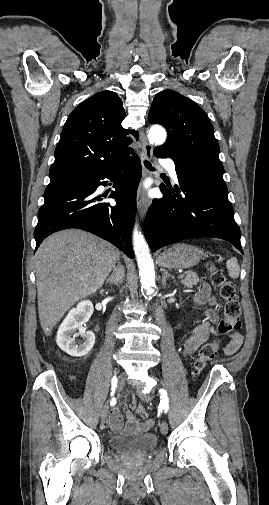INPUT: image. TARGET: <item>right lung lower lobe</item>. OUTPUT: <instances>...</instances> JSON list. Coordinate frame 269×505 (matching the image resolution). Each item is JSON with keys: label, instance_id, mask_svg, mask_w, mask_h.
Wrapping results in <instances>:
<instances>
[{"label": "right lung lower lobe", "instance_id": "1", "mask_svg": "<svg viewBox=\"0 0 269 505\" xmlns=\"http://www.w3.org/2000/svg\"><path fill=\"white\" fill-rule=\"evenodd\" d=\"M141 177L139 158L127 157L77 182L47 187L44 204L39 209L34 231L36 249L50 234L69 228L91 232L134 258L131 230L136 212V190ZM103 179L114 181L109 198L116 205L103 202L95 193Z\"/></svg>", "mask_w": 269, "mask_h": 505}]
</instances>
